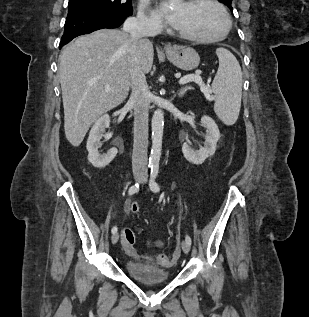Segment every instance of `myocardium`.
<instances>
[{
    "instance_id": "f54148a6",
    "label": "myocardium",
    "mask_w": 309,
    "mask_h": 317,
    "mask_svg": "<svg viewBox=\"0 0 309 317\" xmlns=\"http://www.w3.org/2000/svg\"><path fill=\"white\" fill-rule=\"evenodd\" d=\"M186 3L188 4L209 3L215 6L223 17L224 27L222 32L219 35L213 36V37L194 36V35L185 34L176 30V35L178 37L187 41L195 42V43L208 44V43H216V42L222 41L229 35L232 28L231 17L229 13L227 12L226 8L224 7V5L221 4L218 0H187Z\"/></svg>"
}]
</instances>
